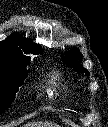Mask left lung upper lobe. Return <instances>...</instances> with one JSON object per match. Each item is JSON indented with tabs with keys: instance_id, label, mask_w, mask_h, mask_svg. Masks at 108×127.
<instances>
[{
	"instance_id": "left-lung-upper-lobe-1",
	"label": "left lung upper lobe",
	"mask_w": 108,
	"mask_h": 127,
	"mask_svg": "<svg viewBox=\"0 0 108 127\" xmlns=\"http://www.w3.org/2000/svg\"><path fill=\"white\" fill-rule=\"evenodd\" d=\"M80 53L79 51H73L70 54H66V56L63 58L64 62L68 65L73 67L76 71L86 73L87 75L89 74L88 70L83 68L82 65H79L76 63V61L79 59ZM72 62L74 64L72 65Z\"/></svg>"
}]
</instances>
